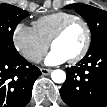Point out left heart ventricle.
I'll use <instances>...</instances> for the list:
<instances>
[{
	"label": "left heart ventricle",
	"mask_w": 107,
	"mask_h": 107,
	"mask_svg": "<svg viewBox=\"0 0 107 107\" xmlns=\"http://www.w3.org/2000/svg\"><path fill=\"white\" fill-rule=\"evenodd\" d=\"M86 40V31L82 24H73L65 34L57 40L53 49L58 50L70 59L77 55L83 48Z\"/></svg>",
	"instance_id": "b2bd125f"
}]
</instances>
